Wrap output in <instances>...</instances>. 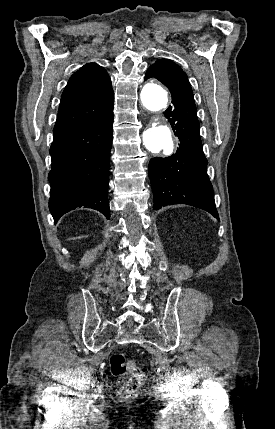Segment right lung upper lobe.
I'll return each instance as SVG.
<instances>
[{
    "mask_svg": "<svg viewBox=\"0 0 275 429\" xmlns=\"http://www.w3.org/2000/svg\"><path fill=\"white\" fill-rule=\"evenodd\" d=\"M113 113V90L107 72L96 63L81 67L61 97L53 133L101 120Z\"/></svg>",
    "mask_w": 275,
    "mask_h": 429,
    "instance_id": "obj_1",
    "label": "right lung upper lobe"
}]
</instances>
